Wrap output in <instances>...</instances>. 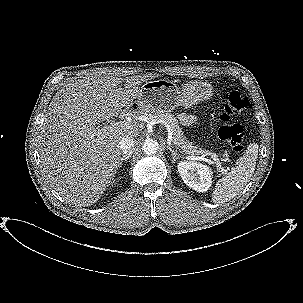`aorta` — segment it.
<instances>
[{"instance_id":"762f6f07","label":"aorta","mask_w":303,"mask_h":303,"mask_svg":"<svg viewBox=\"0 0 303 303\" xmlns=\"http://www.w3.org/2000/svg\"><path fill=\"white\" fill-rule=\"evenodd\" d=\"M158 149H159L158 142L156 140L150 139V138L145 140L143 147H142L143 152L147 155L156 154Z\"/></svg>"}]
</instances>
